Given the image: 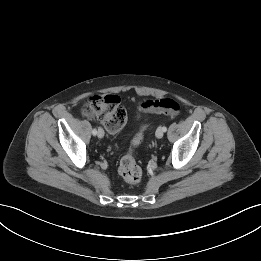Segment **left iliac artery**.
I'll return each mask as SVG.
<instances>
[{"mask_svg":"<svg viewBox=\"0 0 261 261\" xmlns=\"http://www.w3.org/2000/svg\"><path fill=\"white\" fill-rule=\"evenodd\" d=\"M163 131L166 132V131H167V128H166V127H163Z\"/></svg>","mask_w":261,"mask_h":261,"instance_id":"44dca946","label":"left iliac artery"}]
</instances>
